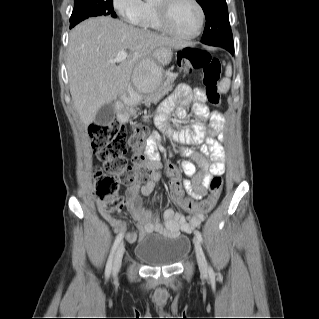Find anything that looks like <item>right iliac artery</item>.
I'll use <instances>...</instances> for the list:
<instances>
[{"label": "right iliac artery", "mask_w": 319, "mask_h": 319, "mask_svg": "<svg viewBox=\"0 0 319 319\" xmlns=\"http://www.w3.org/2000/svg\"><path fill=\"white\" fill-rule=\"evenodd\" d=\"M122 239H123V233H119L114 241V244L112 246V249H111L107 264H106V269H105L106 279L109 278V276L111 274L113 256H114V253H115V251H116V249H117V247L120 244Z\"/></svg>", "instance_id": "right-iliac-artery-1"}]
</instances>
